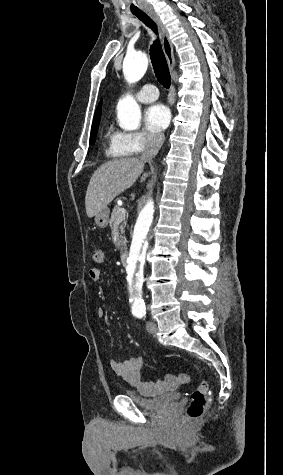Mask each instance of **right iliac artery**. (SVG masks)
I'll use <instances>...</instances> for the list:
<instances>
[{"label": "right iliac artery", "mask_w": 283, "mask_h": 475, "mask_svg": "<svg viewBox=\"0 0 283 475\" xmlns=\"http://www.w3.org/2000/svg\"><path fill=\"white\" fill-rule=\"evenodd\" d=\"M133 315H134V316H137V315H136V312H133Z\"/></svg>", "instance_id": "82829eb1"}]
</instances>
